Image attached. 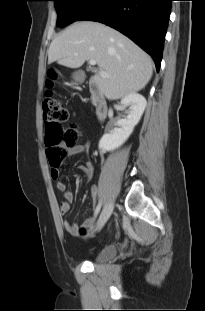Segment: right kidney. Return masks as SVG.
Listing matches in <instances>:
<instances>
[{
    "instance_id": "right-kidney-1",
    "label": "right kidney",
    "mask_w": 205,
    "mask_h": 311,
    "mask_svg": "<svg viewBox=\"0 0 205 311\" xmlns=\"http://www.w3.org/2000/svg\"><path fill=\"white\" fill-rule=\"evenodd\" d=\"M146 99L138 94L131 93L121 100L119 109L129 106L126 118L117 121L118 128H114L111 133L104 134L99 142V149L102 151H113L120 147L131 135L134 127L138 124L146 108Z\"/></svg>"
}]
</instances>
